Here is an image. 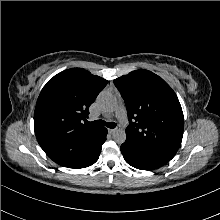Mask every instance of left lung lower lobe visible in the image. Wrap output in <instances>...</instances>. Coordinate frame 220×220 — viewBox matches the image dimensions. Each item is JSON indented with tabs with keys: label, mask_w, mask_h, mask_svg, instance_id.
<instances>
[{
	"label": "left lung lower lobe",
	"mask_w": 220,
	"mask_h": 220,
	"mask_svg": "<svg viewBox=\"0 0 220 220\" xmlns=\"http://www.w3.org/2000/svg\"><path fill=\"white\" fill-rule=\"evenodd\" d=\"M120 149L125 161L132 167L141 170H154L171 160L129 140H126Z\"/></svg>",
	"instance_id": "0a47b994"
}]
</instances>
